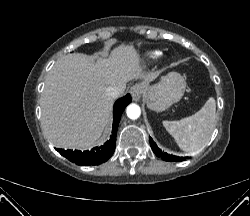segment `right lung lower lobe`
<instances>
[{
    "label": "right lung lower lobe",
    "instance_id": "obj_1",
    "mask_svg": "<svg viewBox=\"0 0 250 216\" xmlns=\"http://www.w3.org/2000/svg\"><path fill=\"white\" fill-rule=\"evenodd\" d=\"M131 102L130 94L117 100L113 107V128L110 140L100 147H95L91 151L63 150L56 149L62 156L77 165H98L107 161L115 151L116 132L121 115L125 107Z\"/></svg>",
    "mask_w": 250,
    "mask_h": 216
}]
</instances>
